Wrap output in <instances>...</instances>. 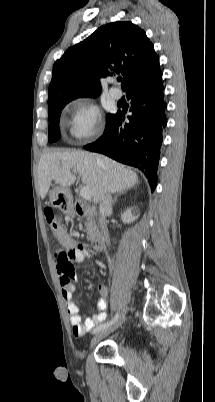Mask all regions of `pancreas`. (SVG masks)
<instances>
[{
	"mask_svg": "<svg viewBox=\"0 0 215 402\" xmlns=\"http://www.w3.org/2000/svg\"><path fill=\"white\" fill-rule=\"evenodd\" d=\"M86 231H87V239L94 240L99 233L98 226L96 220L94 218H87L85 222Z\"/></svg>",
	"mask_w": 215,
	"mask_h": 402,
	"instance_id": "1",
	"label": "pancreas"
}]
</instances>
